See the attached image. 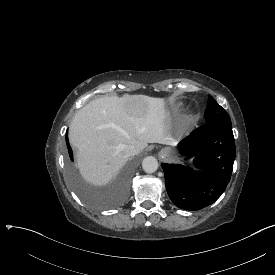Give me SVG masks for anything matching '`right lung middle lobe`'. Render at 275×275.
Wrapping results in <instances>:
<instances>
[{"instance_id": "right-lung-middle-lobe-1", "label": "right lung middle lobe", "mask_w": 275, "mask_h": 275, "mask_svg": "<svg viewBox=\"0 0 275 275\" xmlns=\"http://www.w3.org/2000/svg\"><path fill=\"white\" fill-rule=\"evenodd\" d=\"M63 151V164L62 168L65 177L71 182L72 189L76 194L85 202L86 207L91 210H99L100 207L113 208L126 201V192L129 191L130 182L133 175L138 171L139 161L145 160L148 157L147 149H140L132 153V159L129 164H123L119 170L114 171L116 177L114 184L107 189H97L94 185L86 181L79 170L73 165V146L68 141L66 134V142L62 146Z\"/></svg>"}]
</instances>
